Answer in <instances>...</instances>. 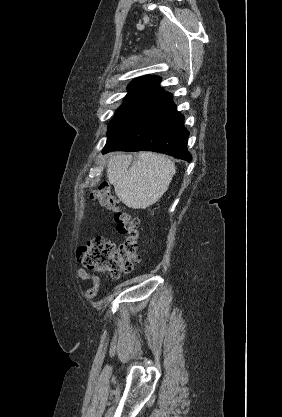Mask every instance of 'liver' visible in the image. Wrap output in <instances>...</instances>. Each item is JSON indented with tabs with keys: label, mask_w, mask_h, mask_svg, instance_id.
Listing matches in <instances>:
<instances>
[{
	"label": "liver",
	"mask_w": 282,
	"mask_h": 417,
	"mask_svg": "<svg viewBox=\"0 0 282 417\" xmlns=\"http://www.w3.org/2000/svg\"><path fill=\"white\" fill-rule=\"evenodd\" d=\"M132 154L117 152L107 164V176L114 190L129 209H147L166 192L175 164L155 152H139L137 160L132 162Z\"/></svg>",
	"instance_id": "6515ba94"
}]
</instances>
